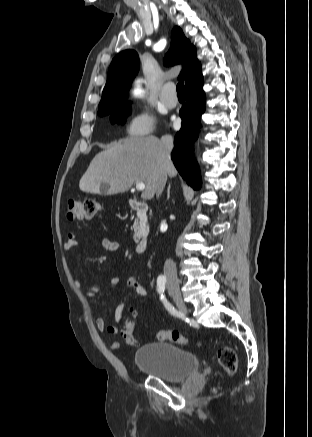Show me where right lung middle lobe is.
Wrapping results in <instances>:
<instances>
[{"label":"right lung middle lobe","instance_id":"dd1d6c3e","mask_svg":"<svg viewBox=\"0 0 312 437\" xmlns=\"http://www.w3.org/2000/svg\"><path fill=\"white\" fill-rule=\"evenodd\" d=\"M129 112H130V103L122 105L109 113L110 120L112 123L117 122L120 124H124ZM109 114H106V115H109ZM100 116H103V115H100Z\"/></svg>","mask_w":312,"mask_h":437}]
</instances>
